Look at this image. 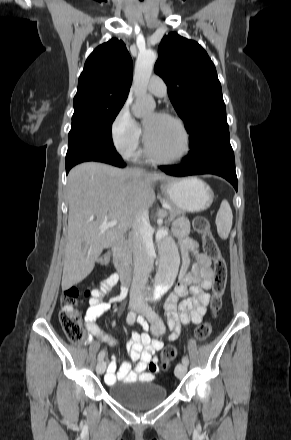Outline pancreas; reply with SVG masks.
Returning a JSON list of instances; mask_svg holds the SVG:
<instances>
[{"instance_id": "pancreas-1", "label": "pancreas", "mask_w": 291, "mask_h": 440, "mask_svg": "<svg viewBox=\"0 0 291 440\" xmlns=\"http://www.w3.org/2000/svg\"><path fill=\"white\" fill-rule=\"evenodd\" d=\"M166 203H168L171 207V209L169 210V220L170 221L174 220L176 217L183 214V211L181 209L175 207L174 205L170 204L169 202H166ZM131 249H132V242L128 241L127 245L124 247V251L129 254Z\"/></svg>"}]
</instances>
